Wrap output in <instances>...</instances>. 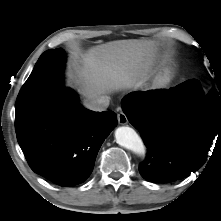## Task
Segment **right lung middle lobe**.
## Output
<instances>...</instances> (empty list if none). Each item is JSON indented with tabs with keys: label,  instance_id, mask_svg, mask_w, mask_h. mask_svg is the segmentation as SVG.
Returning <instances> with one entry per match:
<instances>
[{
	"label": "right lung middle lobe",
	"instance_id": "right-lung-middle-lobe-1",
	"mask_svg": "<svg viewBox=\"0 0 221 221\" xmlns=\"http://www.w3.org/2000/svg\"><path fill=\"white\" fill-rule=\"evenodd\" d=\"M65 51L62 49L47 50L37 61L31 74L50 77L46 85L19 92L16 101L15 127L31 120L45 104V96L56 84L62 83V72L65 62Z\"/></svg>",
	"mask_w": 221,
	"mask_h": 221
}]
</instances>
